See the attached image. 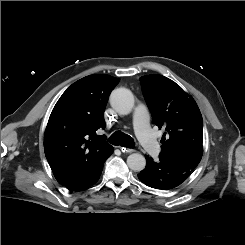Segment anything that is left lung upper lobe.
<instances>
[{
    "instance_id": "1",
    "label": "left lung upper lobe",
    "mask_w": 245,
    "mask_h": 245,
    "mask_svg": "<svg viewBox=\"0 0 245 245\" xmlns=\"http://www.w3.org/2000/svg\"><path fill=\"white\" fill-rule=\"evenodd\" d=\"M140 80L154 124L165 130L160 158L193 172L203 153V119L196 102L167 77Z\"/></svg>"
}]
</instances>
